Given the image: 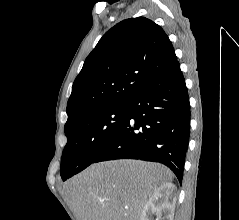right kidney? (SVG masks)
Listing matches in <instances>:
<instances>
[{
	"mask_svg": "<svg viewBox=\"0 0 239 220\" xmlns=\"http://www.w3.org/2000/svg\"><path fill=\"white\" fill-rule=\"evenodd\" d=\"M176 187L168 182L157 187L149 197L142 211L141 220H151L156 215V220H173Z\"/></svg>",
	"mask_w": 239,
	"mask_h": 220,
	"instance_id": "obj_1",
	"label": "right kidney"
}]
</instances>
